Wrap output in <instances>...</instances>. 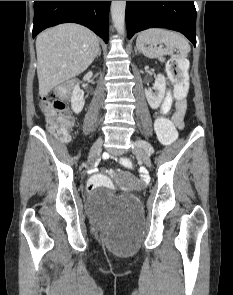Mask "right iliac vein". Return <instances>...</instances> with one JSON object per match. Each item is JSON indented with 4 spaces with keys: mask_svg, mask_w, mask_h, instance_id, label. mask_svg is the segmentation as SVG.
<instances>
[{
    "mask_svg": "<svg viewBox=\"0 0 233 295\" xmlns=\"http://www.w3.org/2000/svg\"><path fill=\"white\" fill-rule=\"evenodd\" d=\"M102 143V139H99L93 144L88 156V162H92L99 155L102 149Z\"/></svg>",
    "mask_w": 233,
    "mask_h": 295,
    "instance_id": "obj_1",
    "label": "right iliac vein"
}]
</instances>
